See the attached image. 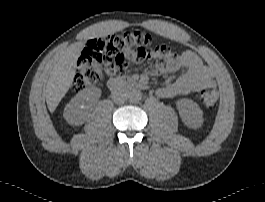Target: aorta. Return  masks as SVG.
I'll list each match as a JSON object with an SVG mask.
<instances>
[{"label": "aorta", "instance_id": "1", "mask_svg": "<svg viewBox=\"0 0 265 202\" xmlns=\"http://www.w3.org/2000/svg\"><path fill=\"white\" fill-rule=\"evenodd\" d=\"M142 94L139 90H131L128 95V99L132 103L139 102L141 100Z\"/></svg>", "mask_w": 265, "mask_h": 202}]
</instances>
